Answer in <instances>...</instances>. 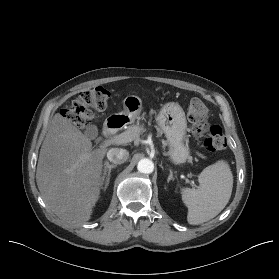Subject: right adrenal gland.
<instances>
[{"label":"right adrenal gland","instance_id":"obj_1","mask_svg":"<svg viewBox=\"0 0 279 279\" xmlns=\"http://www.w3.org/2000/svg\"><path fill=\"white\" fill-rule=\"evenodd\" d=\"M116 167H117V164H110L108 161H105V163H104V170H103L104 173L103 174L105 176L108 173L107 182L109 181V176H110L111 170L115 169Z\"/></svg>","mask_w":279,"mask_h":279}]
</instances>
